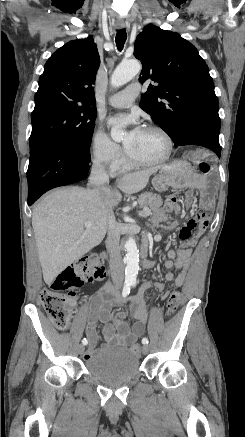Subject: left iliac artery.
Masks as SVG:
<instances>
[{
    "label": "left iliac artery",
    "instance_id": "left-iliac-artery-1",
    "mask_svg": "<svg viewBox=\"0 0 245 437\" xmlns=\"http://www.w3.org/2000/svg\"><path fill=\"white\" fill-rule=\"evenodd\" d=\"M132 285L135 286V283H133ZM142 343L143 344H148V339L147 338H143L142 339Z\"/></svg>",
    "mask_w": 245,
    "mask_h": 437
}]
</instances>
